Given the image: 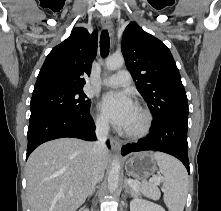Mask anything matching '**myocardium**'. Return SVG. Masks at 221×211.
Segmentation results:
<instances>
[{"label": "myocardium", "instance_id": "obj_1", "mask_svg": "<svg viewBox=\"0 0 221 211\" xmlns=\"http://www.w3.org/2000/svg\"><path fill=\"white\" fill-rule=\"evenodd\" d=\"M136 109L139 111V113L141 114L143 121H142V125L140 126L139 129L135 130V131H127L124 130L122 132V134L129 138V139H133V140H137V139H141L144 136H146L152 126V115L151 113L144 108L143 106L138 105L136 107Z\"/></svg>", "mask_w": 221, "mask_h": 211}]
</instances>
